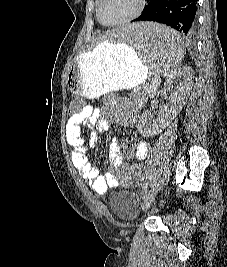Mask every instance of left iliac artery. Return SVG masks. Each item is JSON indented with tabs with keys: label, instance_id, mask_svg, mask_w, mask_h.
Listing matches in <instances>:
<instances>
[{
	"label": "left iliac artery",
	"instance_id": "left-iliac-artery-1",
	"mask_svg": "<svg viewBox=\"0 0 227 267\" xmlns=\"http://www.w3.org/2000/svg\"><path fill=\"white\" fill-rule=\"evenodd\" d=\"M147 190V184H144V186L142 187V193H144Z\"/></svg>",
	"mask_w": 227,
	"mask_h": 267
}]
</instances>
